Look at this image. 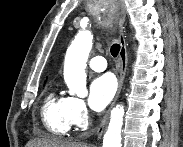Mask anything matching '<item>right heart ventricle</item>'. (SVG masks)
<instances>
[{"instance_id":"e07e8e85","label":"right heart ventricle","mask_w":183,"mask_h":147,"mask_svg":"<svg viewBox=\"0 0 183 147\" xmlns=\"http://www.w3.org/2000/svg\"><path fill=\"white\" fill-rule=\"evenodd\" d=\"M71 97L50 92L42 105V121L45 128L54 135H67L73 125L70 118Z\"/></svg>"}]
</instances>
